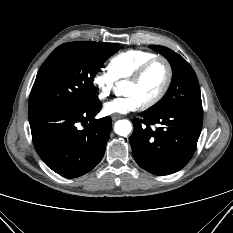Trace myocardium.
Listing matches in <instances>:
<instances>
[{"label":"myocardium","mask_w":233,"mask_h":233,"mask_svg":"<svg viewBox=\"0 0 233 233\" xmlns=\"http://www.w3.org/2000/svg\"><path fill=\"white\" fill-rule=\"evenodd\" d=\"M157 61H162L165 66H166V79L164 82L163 87L161 88V90L159 91V93L152 98L151 100L145 102L142 104V106L144 108H151L155 105H157L159 102L162 101V99L165 97V95L167 94L172 80H173V67L170 63V61L164 57V56H155L147 61H145L134 73L131 77H129L127 80V82L132 83V84H137L141 81V79L143 78V76L145 75V73L147 72V70Z\"/></svg>","instance_id":"obj_1"}]
</instances>
